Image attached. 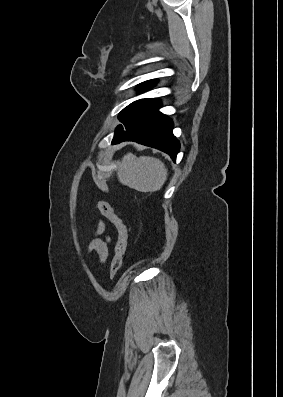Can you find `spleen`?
I'll use <instances>...</instances> for the list:
<instances>
[{
    "instance_id": "3e777b00",
    "label": "spleen",
    "mask_w": 283,
    "mask_h": 397,
    "mask_svg": "<svg viewBox=\"0 0 283 397\" xmlns=\"http://www.w3.org/2000/svg\"><path fill=\"white\" fill-rule=\"evenodd\" d=\"M168 170L164 163L154 157H136L127 153L122 158L117 177L121 184L140 192H156L167 180Z\"/></svg>"
}]
</instances>
